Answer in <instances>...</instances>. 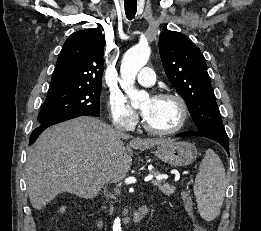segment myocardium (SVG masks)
I'll return each mask as SVG.
<instances>
[{
    "label": "myocardium",
    "mask_w": 261,
    "mask_h": 231,
    "mask_svg": "<svg viewBox=\"0 0 261 231\" xmlns=\"http://www.w3.org/2000/svg\"><path fill=\"white\" fill-rule=\"evenodd\" d=\"M154 98H158V99L170 98V99L175 100L176 103L178 104V107L180 110V120H179V123L172 129L159 130V129L152 127L148 123V121L146 120L144 115L142 114V123H143L144 129L146 131H148L149 133L158 135V136H170V135H174V134L180 132L186 125V122H187L188 116H189L188 107H187L185 100L179 94L174 93V92H167V91L157 93L156 95H154Z\"/></svg>",
    "instance_id": "1"
}]
</instances>
